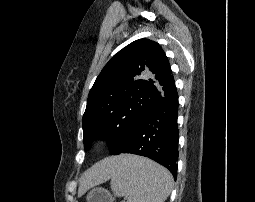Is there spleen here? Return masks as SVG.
<instances>
[{
  "instance_id": "1",
  "label": "spleen",
  "mask_w": 255,
  "mask_h": 202,
  "mask_svg": "<svg viewBox=\"0 0 255 202\" xmlns=\"http://www.w3.org/2000/svg\"><path fill=\"white\" fill-rule=\"evenodd\" d=\"M111 189L128 202H164L173 188L171 173L143 157L127 155L111 174Z\"/></svg>"
}]
</instances>
